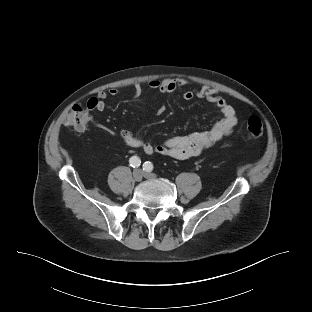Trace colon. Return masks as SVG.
I'll return each instance as SVG.
<instances>
[{
	"mask_svg": "<svg viewBox=\"0 0 312 312\" xmlns=\"http://www.w3.org/2000/svg\"><path fill=\"white\" fill-rule=\"evenodd\" d=\"M89 121L87 109L81 105H73L66 115L64 125L77 131L86 128ZM263 134V123L258 116H252L247 121L246 135L249 140L257 139Z\"/></svg>",
	"mask_w": 312,
	"mask_h": 312,
	"instance_id": "colon-1",
	"label": "colon"
}]
</instances>
